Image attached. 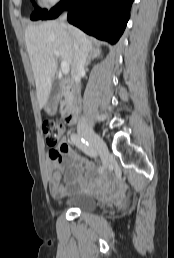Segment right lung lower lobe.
Segmentation results:
<instances>
[{"mask_svg":"<svg viewBox=\"0 0 174 258\" xmlns=\"http://www.w3.org/2000/svg\"><path fill=\"white\" fill-rule=\"evenodd\" d=\"M134 0H62L42 20L55 19L64 8L68 21L89 35L115 44L122 35Z\"/></svg>","mask_w":174,"mask_h":258,"instance_id":"98d812e1","label":"right lung lower lobe"}]
</instances>
